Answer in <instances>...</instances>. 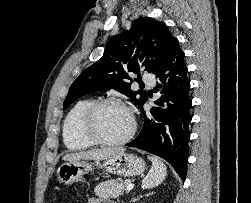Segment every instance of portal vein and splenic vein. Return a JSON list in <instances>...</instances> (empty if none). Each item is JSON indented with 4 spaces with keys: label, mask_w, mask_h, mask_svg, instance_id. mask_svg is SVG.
Returning <instances> with one entry per match:
<instances>
[{
    "label": "portal vein and splenic vein",
    "mask_w": 251,
    "mask_h": 203,
    "mask_svg": "<svg viewBox=\"0 0 251 203\" xmlns=\"http://www.w3.org/2000/svg\"><path fill=\"white\" fill-rule=\"evenodd\" d=\"M133 187H134V184H133V183H130V184H128V185L126 186V190H127V191H130V190L133 189Z\"/></svg>",
    "instance_id": "portal-vein-and-splenic-vein-1"
}]
</instances>
